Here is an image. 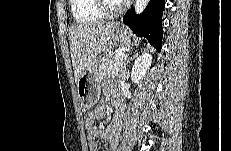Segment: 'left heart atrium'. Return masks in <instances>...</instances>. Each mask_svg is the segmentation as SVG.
Masks as SVG:
<instances>
[{
	"mask_svg": "<svg viewBox=\"0 0 231 151\" xmlns=\"http://www.w3.org/2000/svg\"><path fill=\"white\" fill-rule=\"evenodd\" d=\"M118 3H127L129 0H116Z\"/></svg>",
	"mask_w": 231,
	"mask_h": 151,
	"instance_id": "39dd6f15",
	"label": "left heart atrium"
}]
</instances>
